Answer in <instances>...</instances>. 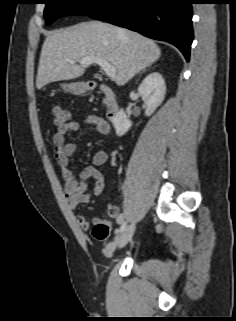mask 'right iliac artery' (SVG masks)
<instances>
[{
    "instance_id": "right-iliac-artery-1",
    "label": "right iliac artery",
    "mask_w": 236,
    "mask_h": 321,
    "mask_svg": "<svg viewBox=\"0 0 236 321\" xmlns=\"http://www.w3.org/2000/svg\"><path fill=\"white\" fill-rule=\"evenodd\" d=\"M126 222H122V224H121V226H120V233H122L124 230H125V228H126Z\"/></svg>"
}]
</instances>
